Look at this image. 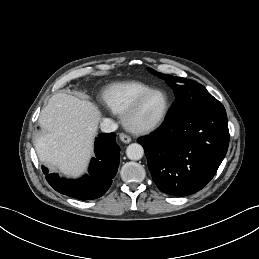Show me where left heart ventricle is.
Segmentation results:
<instances>
[{
    "mask_svg": "<svg viewBox=\"0 0 259 259\" xmlns=\"http://www.w3.org/2000/svg\"><path fill=\"white\" fill-rule=\"evenodd\" d=\"M165 106V95L160 92L154 93L143 103L133 121L140 125L152 123L162 115Z\"/></svg>",
    "mask_w": 259,
    "mask_h": 259,
    "instance_id": "obj_1",
    "label": "left heart ventricle"
}]
</instances>
